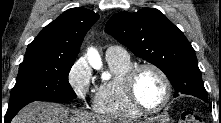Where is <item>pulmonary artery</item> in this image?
I'll return each instance as SVG.
<instances>
[{"mask_svg": "<svg viewBox=\"0 0 221 123\" xmlns=\"http://www.w3.org/2000/svg\"><path fill=\"white\" fill-rule=\"evenodd\" d=\"M105 56L107 60L118 59V60H127L129 59L128 52L120 46H109L106 49Z\"/></svg>", "mask_w": 221, "mask_h": 123, "instance_id": "e3ab8cb5", "label": "pulmonary artery"}]
</instances>
